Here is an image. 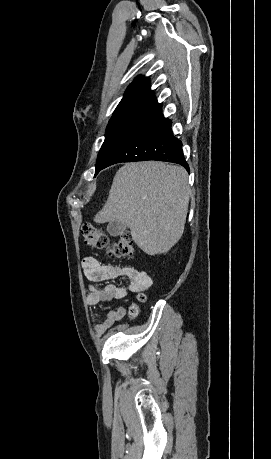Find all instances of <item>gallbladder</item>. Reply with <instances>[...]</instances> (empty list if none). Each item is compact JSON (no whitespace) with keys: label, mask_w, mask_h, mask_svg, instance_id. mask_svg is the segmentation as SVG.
<instances>
[{"label":"gallbladder","mask_w":271,"mask_h":459,"mask_svg":"<svg viewBox=\"0 0 271 459\" xmlns=\"http://www.w3.org/2000/svg\"><path fill=\"white\" fill-rule=\"evenodd\" d=\"M126 228L127 226L120 224V222H109L107 231H109L110 235H121Z\"/></svg>","instance_id":"obj_1"}]
</instances>
